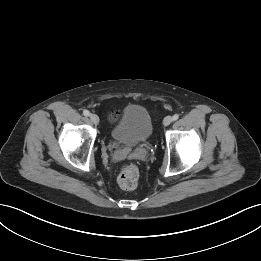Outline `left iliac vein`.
<instances>
[{"instance_id": "1", "label": "left iliac vein", "mask_w": 261, "mask_h": 261, "mask_svg": "<svg viewBox=\"0 0 261 261\" xmlns=\"http://www.w3.org/2000/svg\"><path fill=\"white\" fill-rule=\"evenodd\" d=\"M172 117L171 116H167V117H165L164 118V120H163V125L164 126H168V125H170L171 123H172Z\"/></svg>"}]
</instances>
